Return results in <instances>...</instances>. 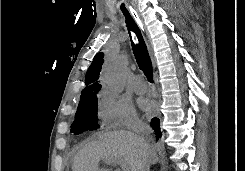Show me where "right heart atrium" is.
<instances>
[{
	"instance_id": "obj_1",
	"label": "right heart atrium",
	"mask_w": 245,
	"mask_h": 171,
	"mask_svg": "<svg viewBox=\"0 0 245 171\" xmlns=\"http://www.w3.org/2000/svg\"><path fill=\"white\" fill-rule=\"evenodd\" d=\"M97 118L103 129H133L140 125L132 106L109 91L98 96Z\"/></svg>"
}]
</instances>
